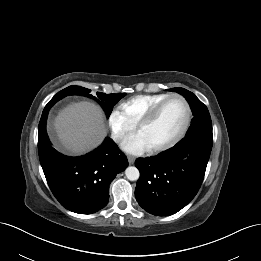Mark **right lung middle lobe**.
Masks as SVG:
<instances>
[{
	"instance_id": "right-lung-middle-lobe-1",
	"label": "right lung middle lobe",
	"mask_w": 261,
	"mask_h": 261,
	"mask_svg": "<svg viewBox=\"0 0 261 261\" xmlns=\"http://www.w3.org/2000/svg\"><path fill=\"white\" fill-rule=\"evenodd\" d=\"M91 90L80 87V86H69L60 92H58L49 102V104L54 105L57 101L64 98L67 95H84L86 97H90L95 99L103 108L106 113L107 118L110 116L112 112V107L125 96V93L119 94H105L101 92H97V98L89 94Z\"/></svg>"
}]
</instances>
